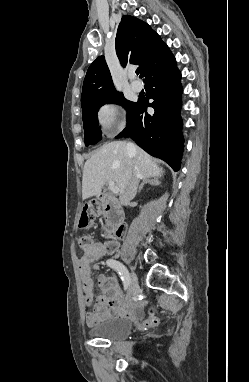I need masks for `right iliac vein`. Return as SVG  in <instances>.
Masks as SVG:
<instances>
[{"label":"right iliac vein","mask_w":249,"mask_h":382,"mask_svg":"<svg viewBox=\"0 0 249 382\" xmlns=\"http://www.w3.org/2000/svg\"><path fill=\"white\" fill-rule=\"evenodd\" d=\"M138 290V278L135 273L131 274L128 293L134 295Z\"/></svg>","instance_id":"right-iliac-vein-1"}]
</instances>
